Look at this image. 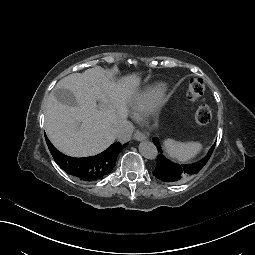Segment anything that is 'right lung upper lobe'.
I'll use <instances>...</instances> for the list:
<instances>
[{
	"instance_id": "right-lung-upper-lobe-1",
	"label": "right lung upper lobe",
	"mask_w": 255,
	"mask_h": 255,
	"mask_svg": "<svg viewBox=\"0 0 255 255\" xmlns=\"http://www.w3.org/2000/svg\"><path fill=\"white\" fill-rule=\"evenodd\" d=\"M47 145L55 162L66 173L83 180V167L86 161H91L94 167V179L92 181L103 178L108 175L116 165V159L119 153L125 148V144L119 142L112 144L107 150L99 155L87 158H74L62 154L47 140ZM91 182V181H88Z\"/></svg>"
}]
</instances>
